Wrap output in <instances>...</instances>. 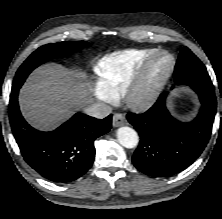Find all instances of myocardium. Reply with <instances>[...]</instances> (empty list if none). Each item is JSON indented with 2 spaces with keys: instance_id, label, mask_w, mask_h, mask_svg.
<instances>
[{
  "instance_id": "obj_1",
  "label": "myocardium",
  "mask_w": 222,
  "mask_h": 219,
  "mask_svg": "<svg viewBox=\"0 0 222 219\" xmlns=\"http://www.w3.org/2000/svg\"><path fill=\"white\" fill-rule=\"evenodd\" d=\"M167 58L168 63L161 76L152 82L150 79L151 71L157 61ZM175 68L174 56L165 50H158L153 53L141 65L134 78L123 91V98L126 104L138 111L149 108L160 96L168 83Z\"/></svg>"
}]
</instances>
